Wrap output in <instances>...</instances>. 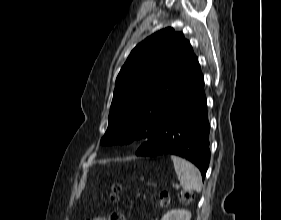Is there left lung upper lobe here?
Returning a JSON list of instances; mask_svg holds the SVG:
<instances>
[{"label": "left lung upper lobe", "mask_w": 281, "mask_h": 220, "mask_svg": "<svg viewBox=\"0 0 281 220\" xmlns=\"http://www.w3.org/2000/svg\"><path fill=\"white\" fill-rule=\"evenodd\" d=\"M199 67L189 41L173 28L162 29L139 43L117 76L101 144L152 139Z\"/></svg>", "instance_id": "obj_1"}]
</instances>
